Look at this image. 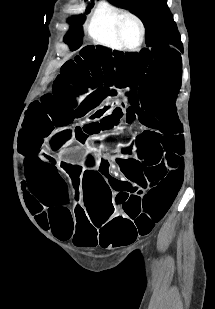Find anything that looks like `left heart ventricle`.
<instances>
[{
	"instance_id": "1",
	"label": "left heart ventricle",
	"mask_w": 215,
	"mask_h": 309,
	"mask_svg": "<svg viewBox=\"0 0 215 309\" xmlns=\"http://www.w3.org/2000/svg\"><path fill=\"white\" fill-rule=\"evenodd\" d=\"M118 31L123 39L124 46H133L138 41V30L136 25L130 20H123L122 25H118Z\"/></svg>"
}]
</instances>
